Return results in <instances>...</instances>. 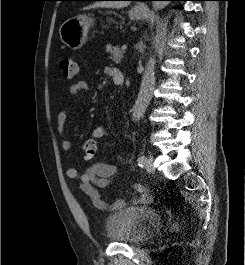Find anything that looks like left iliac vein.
I'll return each mask as SVG.
<instances>
[{"mask_svg":"<svg viewBox=\"0 0 245 265\" xmlns=\"http://www.w3.org/2000/svg\"><path fill=\"white\" fill-rule=\"evenodd\" d=\"M145 168L149 173H153L155 171V166L153 162V157L149 156L145 161Z\"/></svg>","mask_w":245,"mask_h":265,"instance_id":"4c4485c4","label":"left iliac vein"}]
</instances>
